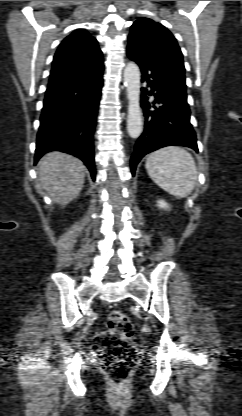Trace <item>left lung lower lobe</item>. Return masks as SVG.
<instances>
[{
  "label": "left lung lower lobe",
  "mask_w": 242,
  "mask_h": 416,
  "mask_svg": "<svg viewBox=\"0 0 242 416\" xmlns=\"http://www.w3.org/2000/svg\"><path fill=\"white\" fill-rule=\"evenodd\" d=\"M127 56L135 61L142 72L141 107L145 116L142 135L135 144L130 165L135 175L137 164L146 154L170 145L186 146L198 151L196 134L190 123V109L186 89L168 77L167 71L156 64L148 54L131 45ZM148 96H153L150 99Z\"/></svg>",
  "instance_id": "1"
}]
</instances>
